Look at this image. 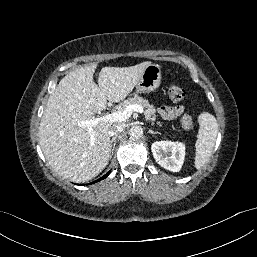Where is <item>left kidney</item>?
Wrapping results in <instances>:
<instances>
[{
	"instance_id": "obj_1",
	"label": "left kidney",
	"mask_w": 257,
	"mask_h": 257,
	"mask_svg": "<svg viewBox=\"0 0 257 257\" xmlns=\"http://www.w3.org/2000/svg\"><path fill=\"white\" fill-rule=\"evenodd\" d=\"M185 149V144L182 142L156 141L151 145L156 162L172 172L180 171L185 158Z\"/></svg>"
}]
</instances>
